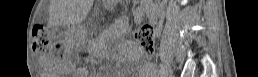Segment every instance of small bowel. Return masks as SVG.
Instances as JSON below:
<instances>
[{"mask_svg": "<svg viewBox=\"0 0 258 77\" xmlns=\"http://www.w3.org/2000/svg\"><path fill=\"white\" fill-rule=\"evenodd\" d=\"M143 68H144V73L146 75H151L152 72L150 71V69L147 65H144Z\"/></svg>", "mask_w": 258, "mask_h": 77, "instance_id": "obj_1", "label": "small bowel"}]
</instances>
